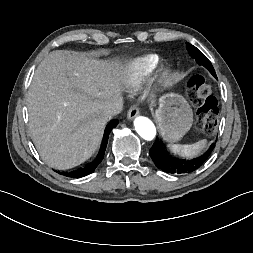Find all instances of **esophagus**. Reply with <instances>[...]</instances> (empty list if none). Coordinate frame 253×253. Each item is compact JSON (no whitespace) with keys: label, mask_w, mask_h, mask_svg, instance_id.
Instances as JSON below:
<instances>
[{"label":"esophagus","mask_w":253,"mask_h":253,"mask_svg":"<svg viewBox=\"0 0 253 253\" xmlns=\"http://www.w3.org/2000/svg\"><path fill=\"white\" fill-rule=\"evenodd\" d=\"M139 114V110L136 106H131L127 113V118L129 120L134 119Z\"/></svg>","instance_id":"obj_1"}]
</instances>
